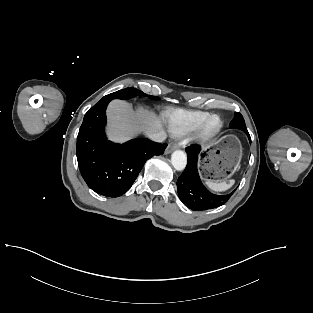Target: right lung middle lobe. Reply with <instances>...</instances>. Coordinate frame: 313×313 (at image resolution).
Listing matches in <instances>:
<instances>
[{
  "label": "right lung middle lobe",
  "instance_id": "dd1d6c3e",
  "mask_svg": "<svg viewBox=\"0 0 313 313\" xmlns=\"http://www.w3.org/2000/svg\"><path fill=\"white\" fill-rule=\"evenodd\" d=\"M140 95L146 96V94H144L142 91H140L138 89L126 88V89H122V90H119L117 92L108 94V95L104 96L100 101H102V100L111 101L113 99L125 100V99H130V98L135 97V96H140ZM150 98L158 99V97H155V96H150Z\"/></svg>",
  "mask_w": 313,
  "mask_h": 313
}]
</instances>
